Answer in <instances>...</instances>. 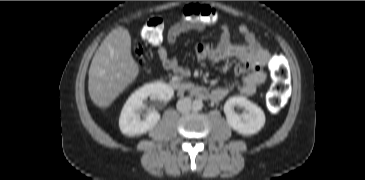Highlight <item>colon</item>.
Here are the masks:
<instances>
[{"mask_svg": "<svg viewBox=\"0 0 365 180\" xmlns=\"http://www.w3.org/2000/svg\"><path fill=\"white\" fill-rule=\"evenodd\" d=\"M183 16L191 22L203 24H215L217 14L210 7L199 4H191L184 8ZM165 22L163 18L154 16L149 18L141 29L142 39L151 45L160 44L163 40ZM135 55L139 63L144 62V51L142 46L135 48ZM270 69L273 76V83L267 93L266 101L269 109L273 112L280 111L285 103V95L288 91V68L286 59L282 54H277L270 62Z\"/></svg>", "mask_w": 365, "mask_h": 180, "instance_id": "5ec220e1", "label": "colon"}]
</instances>
